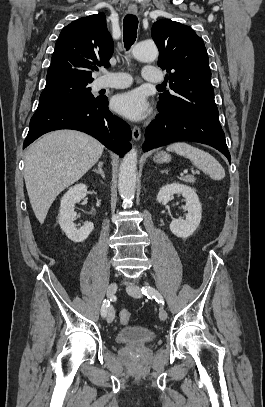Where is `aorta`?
Segmentation results:
<instances>
[{
	"mask_svg": "<svg viewBox=\"0 0 265 407\" xmlns=\"http://www.w3.org/2000/svg\"><path fill=\"white\" fill-rule=\"evenodd\" d=\"M133 56L143 62H152L158 57V49L151 42H140L133 47ZM137 151L132 148L123 158L119 169L118 189L125 206L132 204L136 188Z\"/></svg>",
	"mask_w": 265,
	"mask_h": 407,
	"instance_id": "762f6f07",
	"label": "aorta"
}]
</instances>
